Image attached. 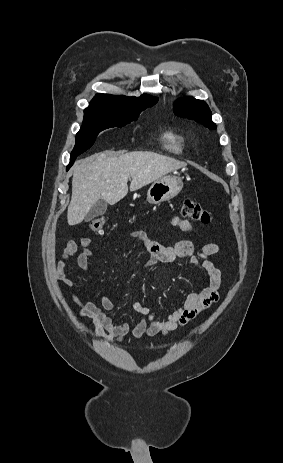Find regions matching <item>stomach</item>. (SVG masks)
<instances>
[{
    "label": "stomach",
    "mask_w": 283,
    "mask_h": 463,
    "mask_svg": "<svg viewBox=\"0 0 283 463\" xmlns=\"http://www.w3.org/2000/svg\"><path fill=\"white\" fill-rule=\"evenodd\" d=\"M183 182L176 176H166L155 181L148 189L147 201L150 204H160L179 194Z\"/></svg>",
    "instance_id": "obj_1"
}]
</instances>
